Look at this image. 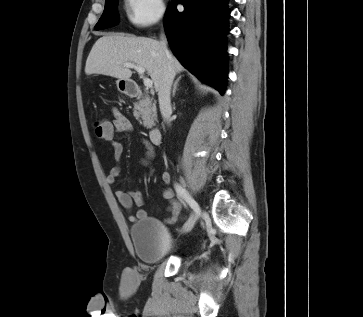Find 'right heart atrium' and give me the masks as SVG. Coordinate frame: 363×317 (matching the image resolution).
I'll use <instances>...</instances> for the list:
<instances>
[{
	"mask_svg": "<svg viewBox=\"0 0 363 317\" xmlns=\"http://www.w3.org/2000/svg\"><path fill=\"white\" fill-rule=\"evenodd\" d=\"M124 9L128 21L140 28L159 23L166 13L163 0H124Z\"/></svg>",
	"mask_w": 363,
	"mask_h": 317,
	"instance_id": "1",
	"label": "right heart atrium"
}]
</instances>
